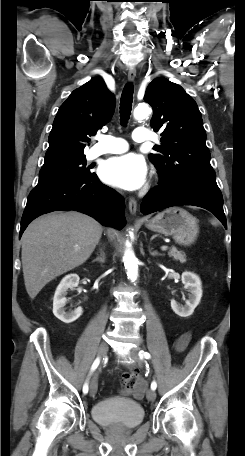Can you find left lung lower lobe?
<instances>
[{
	"label": "left lung lower lobe",
	"instance_id": "1",
	"mask_svg": "<svg viewBox=\"0 0 245 456\" xmlns=\"http://www.w3.org/2000/svg\"><path fill=\"white\" fill-rule=\"evenodd\" d=\"M160 179V186L154 188L143 199L141 204L143 214L172 206L194 205L212 212L226 227L223 198L217 183L162 177Z\"/></svg>",
	"mask_w": 245,
	"mask_h": 456
}]
</instances>
